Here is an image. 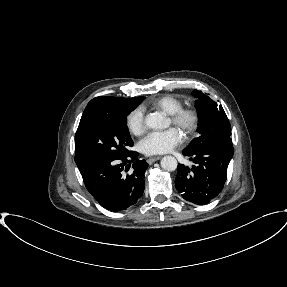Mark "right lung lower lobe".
<instances>
[{
    "label": "right lung lower lobe",
    "mask_w": 287,
    "mask_h": 287,
    "mask_svg": "<svg viewBox=\"0 0 287 287\" xmlns=\"http://www.w3.org/2000/svg\"><path fill=\"white\" fill-rule=\"evenodd\" d=\"M137 156V152H131L126 157L103 159L81 171L86 188L105 209L112 212L126 210L142 196L144 173L149 165ZM130 164L132 173L123 175L122 171L128 170Z\"/></svg>",
    "instance_id": "right-lung-lower-lobe-1"
}]
</instances>
